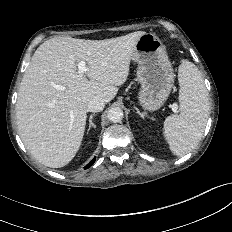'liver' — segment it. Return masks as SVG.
<instances>
[{
  "label": "liver",
  "instance_id": "6515ba94",
  "mask_svg": "<svg viewBox=\"0 0 232 232\" xmlns=\"http://www.w3.org/2000/svg\"><path fill=\"white\" fill-rule=\"evenodd\" d=\"M144 31L105 40L54 37L34 52L16 104L19 135L41 164L60 168L76 155L84 136L87 104L110 102L129 75L130 60ZM84 60L88 71L79 74Z\"/></svg>",
  "mask_w": 232,
  "mask_h": 232
}]
</instances>
